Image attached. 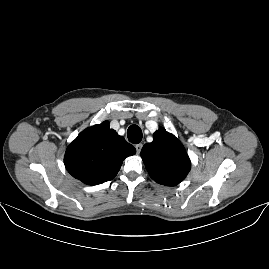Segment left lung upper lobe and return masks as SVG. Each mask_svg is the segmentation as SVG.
I'll return each mask as SVG.
<instances>
[{
	"instance_id": "left-lung-upper-lobe-1",
	"label": "left lung upper lobe",
	"mask_w": 269,
	"mask_h": 269,
	"mask_svg": "<svg viewBox=\"0 0 269 269\" xmlns=\"http://www.w3.org/2000/svg\"><path fill=\"white\" fill-rule=\"evenodd\" d=\"M141 157L151 178L167 186L179 184L191 169L185 148L164 128L153 134V142L143 146Z\"/></svg>"
}]
</instances>
